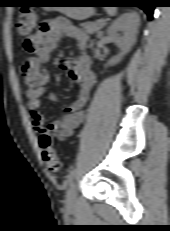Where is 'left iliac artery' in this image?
<instances>
[{
  "mask_svg": "<svg viewBox=\"0 0 170 231\" xmlns=\"http://www.w3.org/2000/svg\"><path fill=\"white\" fill-rule=\"evenodd\" d=\"M76 173V170H72L69 172V174L67 175V180H66V184H68L69 182L72 181V179L74 178Z\"/></svg>",
  "mask_w": 170,
  "mask_h": 231,
  "instance_id": "left-iliac-artery-1",
  "label": "left iliac artery"
}]
</instances>
